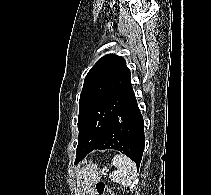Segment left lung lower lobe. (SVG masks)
Wrapping results in <instances>:
<instances>
[{
	"label": "left lung lower lobe",
	"instance_id": "left-lung-lower-lobe-1",
	"mask_svg": "<svg viewBox=\"0 0 211 195\" xmlns=\"http://www.w3.org/2000/svg\"><path fill=\"white\" fill-rule=\"evenodd\" d=\"M144 145L143 117L138 108L136 98L134 97L124 109L107 124L100 140L93 150H118L133 159L137 167H139ZM83 158L76 160L75 163H78Z\"/></svg>",
	"mask_w": 211,
	"mask_h": 195
}]
</instances>
